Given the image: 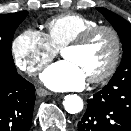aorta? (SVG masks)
Listing matches in <instances>:
<instances>
[{"mask_svg":"<svg viewBox=\"0 0 131 131\" xmlns=\"http://www.w3.org/2000/svg\"><path fill=\"white\" fill-rule=\"evenodd\" d=\"M63 106L70 114H76L83 109V100L76 94L67 95L64 97Z\"/></svg>","mask_w":131,"mask_h":131,"instance_id":"762f6f07","label":"aorta"}]
</instances>
